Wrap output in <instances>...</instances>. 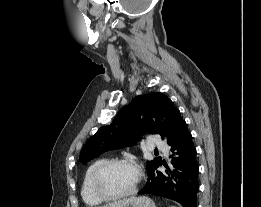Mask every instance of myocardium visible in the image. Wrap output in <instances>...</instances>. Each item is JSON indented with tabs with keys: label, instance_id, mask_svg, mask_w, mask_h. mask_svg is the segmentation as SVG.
<instances>
[{
	"label": "myocardium",
	"instance_id": "myocardium-1",
	"mask_svg": "<svg viewBox=\"0 0 261 207\" xmlns=\"http://www.w3.org/2000/svg\"><path fill=\"white\" fill-rule=\"evenodd\" d=\"M118 164L129 165V166L133 167L137 174L136 181H135L134 185L132 186V188L126 192H123L120 194H114V195L108 194L101 187V178H102L103 173L109 167H111L113 165H118ZM141 180H142L141 170L132 160L127 159V158H113V159L106 160L105 162H103L96 168V170L94 171L93 176H92V188H93L94 193L103 201H115V200L123 199V198L133 195L137 191V189L141 183Z\"/></svg>",
	"mask_w": 261,
	"mask_h": 207
}]
</instances>
